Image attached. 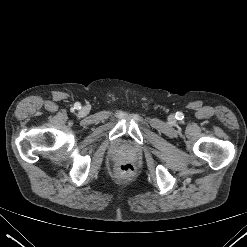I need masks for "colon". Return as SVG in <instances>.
I'll list each match as a JSON object with an SVG mask.
<instances>
[{"instance_id": "colon-1", "label": "colon", "mask_w": 247, "mask_h": 247, "mask_svg": "<svg viewBox=\"0 0 247 247\" xmlns=\"http://www.w3.org/2000/svg\"><path fill=\"white\" fill-rule=\"evenodd\" d=\"M117 170L123 175H128L133 173L134 166L130 163H123L117 166Z\"/></svg>"}]
</instances>
